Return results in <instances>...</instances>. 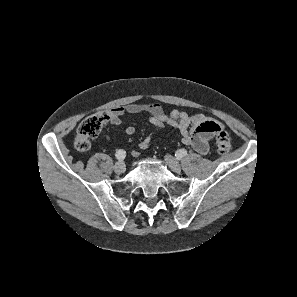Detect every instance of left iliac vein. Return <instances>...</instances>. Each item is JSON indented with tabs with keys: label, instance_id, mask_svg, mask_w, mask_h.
Listing matches in <instances>:
<instances>
[{
	"label": "left iliac vein",
	"instance_id": "1",
	"mask_svg": "<svg viewBox=\"0 0 297 297\" xmlns=\"http://www.w3.org/2000/svg\"><path fill=\"white\" fill-rule=\"evenodd\" d=\"M165 161L169 168L174 172H180L181 171V165L179 162L171 155L165 156Z\"/></svg>",
	"mask_w": 297,
	"mask_h": 297
}]
</instances>
